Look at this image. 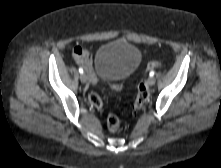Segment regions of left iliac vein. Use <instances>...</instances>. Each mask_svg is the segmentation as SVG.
Masks as SVG:
<instances>
[{"mask_svg":"<svg viewBox=\"0 0 221 168\" xmlns=\"http://www.w3.org/2000/svg\"><path fill=\"white\" fill-rule=\"evenodd\" d=\"M155 81V78L152 76L148 78L147 83L149 86H153L155 84Z\"/></svg>","mask_w":221,"mask_h":168,"instance_id":"1","label":"left iliac vein"}]
</instances>
